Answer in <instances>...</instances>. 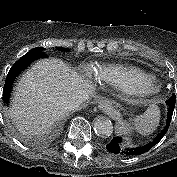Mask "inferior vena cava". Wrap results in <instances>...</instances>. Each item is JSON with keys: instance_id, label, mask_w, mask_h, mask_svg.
Masks as SVG:
<instances>
[{"instance_id": "inferior-vena-cava-1", "label": "inferior vena cava", "mask_w": 177, "mask_h": 177, "mask_svg": "<svg viewBox=\"0 0 177 177\" xmlns=\"http://www.w3.org/2000/svg\"><path fill=\"white\" fill-rule=\"evenodd\" d=\"M87 99L88 96L85 94L66 97L61 101L60 107L64 112H70L77 109Z\"/></svg>"}]
</instances>
